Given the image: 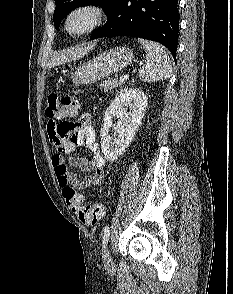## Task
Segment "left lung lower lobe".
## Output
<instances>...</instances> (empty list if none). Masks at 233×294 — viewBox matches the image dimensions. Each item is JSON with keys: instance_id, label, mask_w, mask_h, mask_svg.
I'll return each instance as SVG.
<instances>
[{"instance_id": "left-lung-lower-lobe-1", "label": "left lung lower lobe", "mask_w": 233, "mask_h": 294, "mask_svg": "<svg viewBox=\"0 0 233 294\" xmlns=\"http://www.w3.org/2000/svg\"><path fill=\"white\" fill-rule=\"evenodd\" d=\"M178 0H117L105 25L90 40L130 36L157 41L176 58L178 45Z\"/></svg>"}]
</instances>
